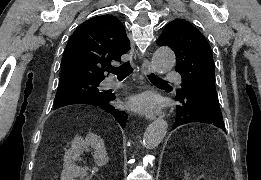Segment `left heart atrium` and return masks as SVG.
Listing matches in <instances>:
<instances>
[{
  "mask_svg": "<svg viewBox=\"0 0 261 180\" xmlns=\"http://www.w3.org/2000/svg\"><path fill=\"white\" fill-rule=\"evenodd\" d=\"M161 100L154 93H142L129 99L130 108L140 112H150L160 107Z\"/></svg>",
  "mask_w": 261,
  "mask_h": 180,
  "instance_id": "left-heart-atrium-1",
  "label": "left heart atrium"
}]
</instances>
